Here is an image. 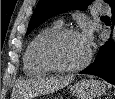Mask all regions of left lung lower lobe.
Masks as SVG:
<instances>
[{
  "label": "left lung lower lobe",
  "instance_id": "obj_1",
  "mask_svg": "<svg viewBox=\"0 0 115 99\" xmlns=\"http://www.w3.org/2000/svg\"><path fill=\"white\" fill-rule=\"evenodd\" d=\"M113 24L115 23V3L111 6ZM80 74L99 76L111 84H115V44L107 42L100 47L94 62Z\"/></svg>",
  "mask_w": 115,
  "mask_h": 99
}]
</instances>
